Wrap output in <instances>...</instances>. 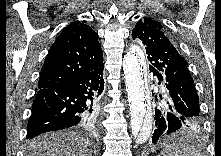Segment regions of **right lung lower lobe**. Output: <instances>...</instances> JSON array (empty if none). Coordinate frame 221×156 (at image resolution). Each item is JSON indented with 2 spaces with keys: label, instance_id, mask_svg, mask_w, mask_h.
<instances>
[{
  "label": "right lung lower lobe",
  "instance_id": "1",
  "mask_svg": "<svg viewBox=\"0 0 221 156\" xmlns=\"http://www.w3.org/2000/svg\"><path fill=\"white\" fill-rule=\"evenodd\" d=\"M104 65L50 89H39L27 125V139L54 130L96 125L93 105L101 100Z\"/></svg>",
  "mask_w": 221,
  "mask_h": 156
}]
</instances>
